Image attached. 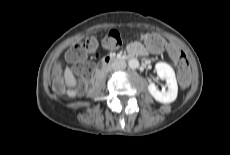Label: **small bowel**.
<instances>
[{
    "mask_svg": "<svg viewBox=\"0 0 230 155\" xmlns=\"http://www.w3.org/2000/svg\"><path fill=\"white\" fill-rule=\"evenodd\" d=\"M129 51L134 52L136 55H146L148 53H159L162 49V47H154L151 45L146 44L145 46L141 44L140 42H133L129 45Z\"/></svg>",
    "mask_w": 230,
    "mask_h": 155,
    "instance_id": "1",
    "label": "small bowel"
}]
</instances>
